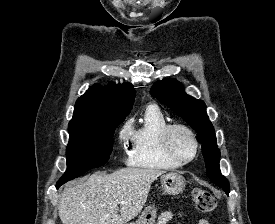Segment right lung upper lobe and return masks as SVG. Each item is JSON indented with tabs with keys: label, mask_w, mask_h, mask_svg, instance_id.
Masks as SVG:
<instances>
[{
	"label": "right lung upper lobe",
	"mask_w": 275,
	"mask_h": 224,
	"mask_svg": "<svg viewBox=\"0 0 275 224\" xmlns=\"http://www.w3.org/2000/svg\"><path fill=\"white\" fill-rule=\"evenodd\" d=\"M135 91L131 84L93 85L77 99L69 126L124 120L132 109Z\"/></svg>",
	"instance_id": "obj_1"
}]
</instances>
